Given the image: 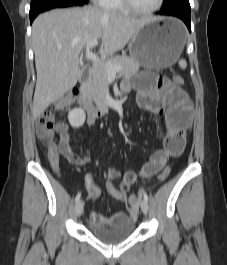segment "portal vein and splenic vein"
Wrapping results in <instances>:
<instances>
[{
    "label": "portal vein and splenic vein",
    "instance_id": "obj_1",
    "mask_svg": "<svg viewBox=\"0 0 227 265\" xmlns=\"http://www.w3.org/2000/svg\"><path fill=\"white\" fill-rule=\"evenodd\" d=\"M97 44H98V40L97 39H94V40L89 41L87 43V45H86V57L89 60L100 64V63H102L100 58L95 53H93L91 51V49L93 47H95ZM105 67H106V70H107L109 76H115L116 73H118L119 71L122 70L121 66L113 65V64H106Z\"/></svg>",
    "mask_w": 227,
    "mask_h": 265
}]
</instances>
